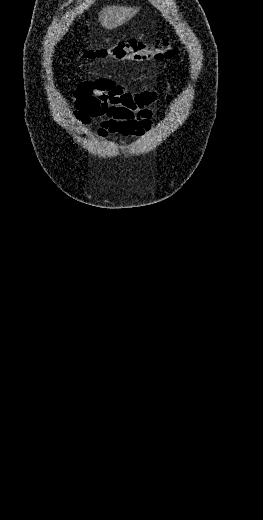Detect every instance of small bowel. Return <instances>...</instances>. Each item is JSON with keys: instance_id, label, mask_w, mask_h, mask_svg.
I'll use <instances>...</instances> for the list:
<instances>
[{"instance_id": "1", "label": "small bowel", "mask_w": 263, "mask_h": 520, "mask_svg": "<svg viewBox=\"0 0 263 520\" xmlns=\"http://www.w3.org/2000/svg\"><path fill=\"white\" fill-rule=\"evenodd\" d=\"M75 118L88 125L92 118H100L97 134L140 137L153 126L151 105L158 93L143 88L129 92L109 78L86 80L73 92Z\"/></svg>"}]
</instances>
